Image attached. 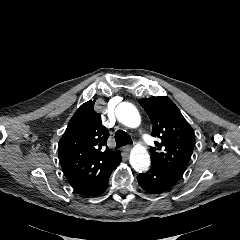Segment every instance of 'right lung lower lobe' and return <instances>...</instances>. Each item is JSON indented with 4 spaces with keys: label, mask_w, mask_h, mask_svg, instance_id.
<instances>
[{
    "label": "right lung lower lobe",
    "mask_w": 240,
    "mask_h": 240,
    "mask_svg": "<svg viewBox=\"0 0 240 240\" xmlns=\"http://www.w3.org/2000/svg\"><path fill=\"white\" fill-rule=\"evenodd\" d=\"M108 179L109 177L91 194L90 197L99 196L102 194L108 187Z\"/></svg>",
    "instance_id": "98d812e1"
}]
</instances>
